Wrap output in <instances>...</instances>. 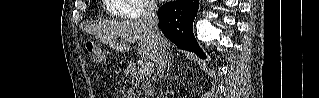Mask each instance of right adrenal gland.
Here are the masks:
<instances>
[{
    "mask_svg": "<svg viewBox=\"0 0 319 98\" xmlns=\"http://www.w3.org/2000/svg\"><path fill=\"white\" fill-rule=\"evenodd\" d=\"M171 57H172V55L169 56L168 69H167V74H166V76H168V73L170 72V68H171Z\"/></svg>",
    "mask_w": 319,
    "mask_h": 98,
    "instance_id": "right-adrenal-gland-1",
    "label": "right adrenal gland"
}]
</instances>
